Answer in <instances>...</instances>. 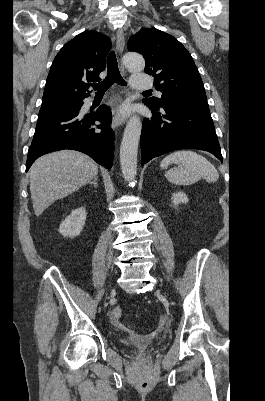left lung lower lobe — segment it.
<instances>
[{"instance_id": "obj_1", "label": "left lung lower lobe", "mask_w": 265, "mask_h": 401, "mask_svg": "<svg viewBox=\"0 0 265 401\" xmlns=\"http://www.w3.org/2000/svg\"><path fill=\"white\" fill-rule=\"evenodd\" d=\"M145 103V102H144ZM145 118L141 133V165L154 157L178 149H200L222 161L219 142L206 101L184 100L163 105L162 113Z\"/></svg>"}]
</instances>
